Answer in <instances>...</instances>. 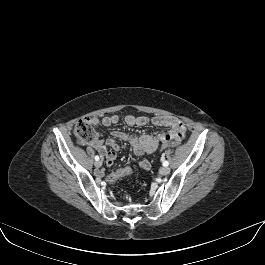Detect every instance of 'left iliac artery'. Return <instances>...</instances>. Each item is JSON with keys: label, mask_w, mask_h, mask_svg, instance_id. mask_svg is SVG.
<instances>
[{"label": "left iliac artery", "mask_w": 265, "mask_h": 265, "mask_svg": "<svg viewBox=\"0 0 265 265\" xmlns=\"http://www.w3.org/2000/svg\"><path fill=\"white\" fill-rule=\"evenodd\" d=\"M162 160H163V166H168L169 165V162L164 160V157H162Z\"/></svg>", "instance_id": "obj_1"}]
</instances>
